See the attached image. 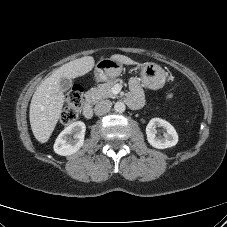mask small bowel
Returning <instances> with one entry per match:
<instances>
[{
  "instance_id": "small-bowel-1",
  "label": "small bowel",
  "mask_w": 227,
  "mask_h": 227,
  "mask_svg": "<svg viewBox=\"0 0 227 227\" xmlns=\"http://www.w3.org/2000/svg\"><path fill=\"white\" fill-rule=\"evenodd\" d=\"M130 90L131 94L128 98L129 105L133 108L140 107L144 102V96L141 84L137 79H132L130 81Z\"/></svg>"
}]
</instances>
